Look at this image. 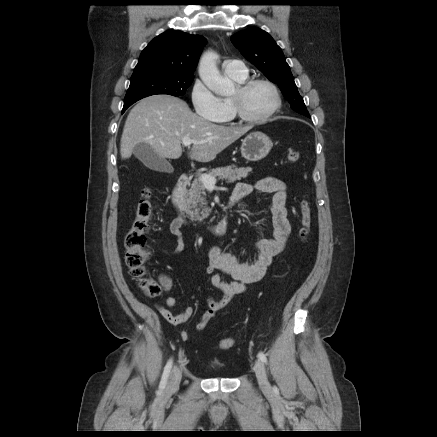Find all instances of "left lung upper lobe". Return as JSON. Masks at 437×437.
<instances>
[{
    "mask_svg": "<svg viewBox=\"0 0 437 437\" xmlns=\"http://www.w3.org/2000/svg\"><path fill=\"white\" fill-rule=\"evenodd\" d=\"M241 54L277 84L290 107L310 118L281 48L265 31L250 27L231 36Z\"/></svg>",
    "mask_w": 437,
    "mask_h": 437,
    "instance_id": "obj_1",
    "label": "left lung upper lobe"
}]
</instances>
